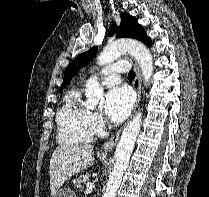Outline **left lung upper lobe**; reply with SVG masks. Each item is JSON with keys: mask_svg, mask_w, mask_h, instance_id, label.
Segmentation results:
<instances>
[{"mask_svg": "<svg viewBox=\"0 0 209 197\" xmlns=\"http://www.w3.org/2000/svg\"><path fill=\"white\" fill-rule=\"evenodd\" d=\"M117 32L118 37H129L142 41L147 46H151V39L146 35L144 28L138 24L137 19L128 13L121 14V24L117 27L115 24L109 29L108 35L113 36ZM98 51L97 47H93L90 50L79 55L66 69L64 74L61 90L65 88L67 83L71 80L73 75L85 66Z\"/></svg>", "mask_w": 209, "mask_h": 197, "instance_id": "left-lung-upper-lobe-1", "label": "left lung upper lobe"}]
</instances>
